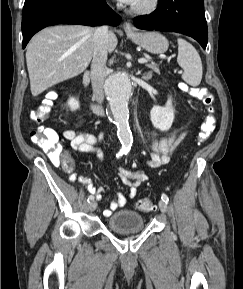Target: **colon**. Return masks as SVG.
Returning a JSON list of instances; mask_svg holds the SVG:
<instances>
[{"mask_svg":"<svg viewBox=\"0 0 243 289\" xmlns=\"http://www.w3.org/2000/svg\"><path fill=\"white\" fill-rule=\"evenodd\" d=\"M190 95L199 99L207 108V115L200 125L198 134V142H205L215 129V116L213 104V96L205 87H193L189 89ZM55 94L49 96L31 113V118L37 123L43 122L51 112ZM32 141L48 153L53 164L61 166L66 172L74 169V161L70 155L63 153L58 143V134L51 128L37 126L30 133ZM135 208L148 212L153 210L154 205L149 199H139L134 204Z\"/></svg>","mask_w":243,"mask_h":289,"instance_id":"obj_1","label":"colon"}]
</instances>
